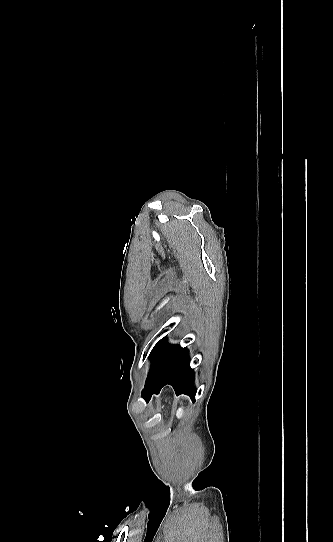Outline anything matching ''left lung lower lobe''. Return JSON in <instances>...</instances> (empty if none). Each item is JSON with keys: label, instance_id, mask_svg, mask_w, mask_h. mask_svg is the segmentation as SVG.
<instances>
[{"label": "left lung lower lobe", "instance_id": "obj_1", "mask_svg": "<svg viewBox=\"0 0 333 542\" xmlns=\"http://www.w3.org/2000/svg\"><path fill=\"white\" fill-rule=\"evenodd\" d=\"M150 359L151 367L142 391L145 400L152 394L159 393L166 384H170L177 395L186 393L194 401V371L190 367L187 348L169 344L164 337L152 349Z\"/></svg>", "mask_w": 333, "mask_h": 542}]
</instances>
